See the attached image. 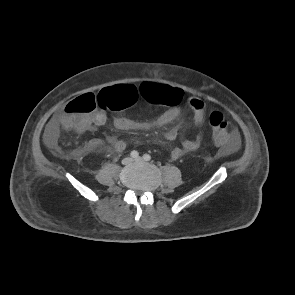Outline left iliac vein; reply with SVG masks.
<instances>
[{
	"instance_id": "1",
	"label": "left iliac vein",
	"mask_w": 295,
	"mask_h": 295,
	"mask_svg": "<svg viewBox=\"0 0 295 295\" xmlns=\"http://www.w3.org/2000/svg\"><path fill=\"white\" fill-rule=\"evenodd\" d=\"M134 161H136V162H141V161H143V158L138 157V158H136Z\"/></svg>"
}]
</instances>
